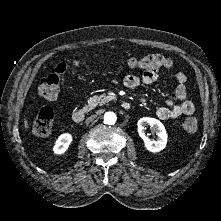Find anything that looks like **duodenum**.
<instances>
[{"instance_id":"410a0bca","label":"duodenum","mask_w":221,"mask_h":221,"mask_svg":"<svg viewBox=\"0 0 221 221\" xmlns=\"http://www.w3.org/2000/svg\"><path fill=\"white\" fill-rule=\"evenodd\" d=\"M122 108L125 110H129L131 105L129 102L124 101L121 104ZM89 109L87 107H81L73 111L72 118L75 122H81L85 119V117L89 114Z\"/></svg>"}]
</instances>
